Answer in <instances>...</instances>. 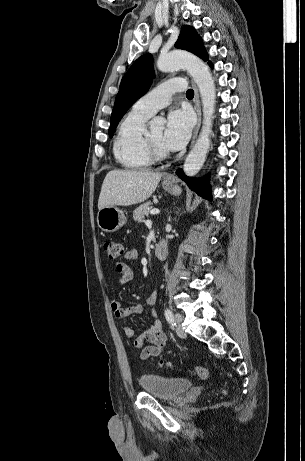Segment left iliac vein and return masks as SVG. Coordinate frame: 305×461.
<instances>
[{
  "instance_id": "left-iliac-vein-1",
  "label": "left iliac vein",
  "mask_w": 305,
  "mask_h": 461,
  "mask_svg": "<svg viewBox=\"0 0 305 461\" xmlns=\"http://www.w3.org/2000/svg\"><path fill=\"white\" fill-rule=\"evenodd\" d=\"M174 321L176 323L174 328H175V331H176L177 335L179 337H185L186 333H185L183 327L181 326V323L183 321V316L181 314H179V313L175 314Z\"/></svg>"
}]
</instances>
